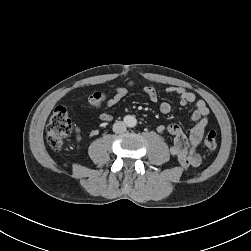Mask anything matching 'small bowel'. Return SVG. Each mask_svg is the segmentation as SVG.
I'll use <instances>...</instances> for the list:
<instances>
[{
    "label": "small bowel",
    "instance_id": "c3829d8e",
    "mask_svg": "<svg viewBox=\"0 0 251 251\" xmlns=\"http://www.w3.org/2000/svg\"><path fill=\"white\" fill-rule=\"evenodd\" d=\"M133 85L134 81L128 80L123 85L113 87V97L100 109L99 118L101 121L106 123L112 121L113 116L110 108L123 100ZM165 91L166 93L177 95L181 106L195 103L192 120L196 122V125L192 128L188 137L176 124H170L168 126L160 125L157 127V132L161 134L167 132L174 137L173 145L170 147V153L183 167H198L202 162V158L197 152V146L201 143L208 125L209 109L203 100H196L194 93L182 87L172 86L168 87ZM144 92L151 102L155 103L158 101V91L155 87L146 86ZM159 109L161 113L167 114L171 111V105L168 102H162Z\"/></svg>",
    "mask_w": 251,
    "mask_h": 251
}]
</instances>
